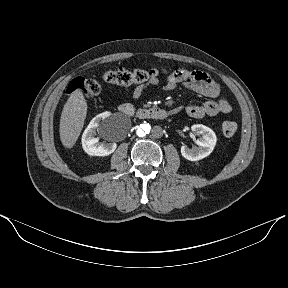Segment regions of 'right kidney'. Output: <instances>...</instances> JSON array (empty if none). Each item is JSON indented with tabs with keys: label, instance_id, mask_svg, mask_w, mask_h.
I'll return each instance as SVG.
<instances>
[{
	"label": "right kidney",
	"instance_id": "right-kidney-1",
	"mask_svg": "<svg viewBox=\"0 0 288 288\" xmlns=\"http://www.w3.org/2000/svg\"><path fill=\"white\" fill-rule=\"evenodd\" d=\"M108 114H100L94 117L82 135V147L90 156H108L112 154L117 145L116 143H102L95 137L96 131L104 133L103 121Z\"/></svg>",
	"mask_w": 288,
	"mask_h": 288
}]
</instances>
